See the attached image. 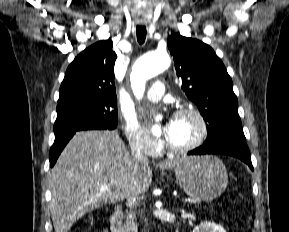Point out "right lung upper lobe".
<instances>
[{
	"mask_svg": "<svg viewBox=\"0 0 289 232\" xmlns=\"http://www.w3.org/2000/svg\"><path fill=\"white\" fill-rule=\"evenodd\" d=\"M110 39L99 41L81 52L69 65L60 87L58 106L95 99L117 102L114 64L117 58Z\"/></svg>",
	"mask_w": 289,
	"mask_h": 232,
	"instance_id": "right-lung-upper-lobe-1",
	"label": "right lung upper lobe"
}]
</instances>
